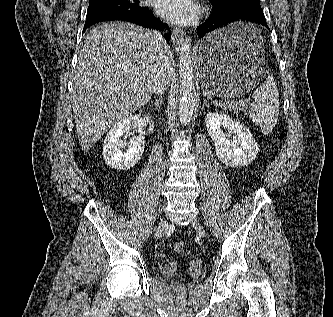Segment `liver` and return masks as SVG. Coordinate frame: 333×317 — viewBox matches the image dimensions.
I'll return each instance as SVG.
<instances>
[{
	"instance_id": "6515ba94",
	"label": "liver",
	"mask_w": 333,
	"mask_h": 317,
	"mask_svg": "<svg viewBox=\"0 0 333 317\" xmlns=\"http://www.w3.org/2000/svg\"><path fill=\"white\" fill-rule=\"evenodd\" d=\"M155 34L131 23L111 22L86 35L72 93L76 132L84 152L113 124L150 100L161 59ZM165 59L170 81L175 64L169 49Z\"/></svg>"
}]
</instances>
